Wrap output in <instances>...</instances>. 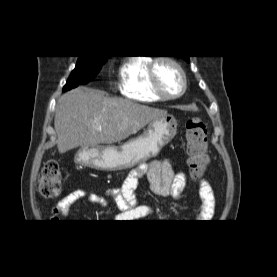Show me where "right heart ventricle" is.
I'll return each mask as SVG.
<instances>
[{"instance_id": "e07e8e85", "label": "right heart ventricle", "mask_w": 277, "mask_h": 277, "mask_svg": "<svg viewBox=\"0 0 277 277\" xmlns=\"http://www.w3.org/2000/svg\"><path fill=\"white\" fill-rule=\"evenodd\" d=\"M147 57H132L119 70L120 92L127 98L141 102L163 101L151 88Z\"/></svg>"}]
</instances>
